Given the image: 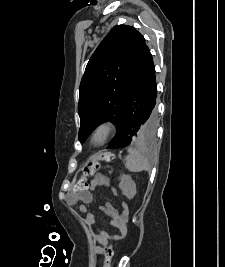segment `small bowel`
Returning a JSON list of instances; mask_svg holds the SVG:
<instances>
[{"label": "small bowel", "mask_w": 225, "mask_h": 267, "mask_svg": "<svg viewBox=\"0 0 225 267\" xmlns=\"http://www.w3.org/2000/svg\"><path fill=\"white\" fill-rule=\"evenodd\" d=\"M98 187H106L110 188L114 193H116V189L114 188L109 177L103 174H98L91 182L89 190L75 194L71 193L67 196V202L75 206L76 209L86 215V219L90 224H95L94 215L88 212V207L86 204H79V201H83L84 203L92 202V192L95 191ZM111 217V224L119 229L120 234L111 236L108 232L101 230L98 226H96L97 231L93 232L94 240L99 244L95 247V252L99 255H102L111 240H119L123 238L128 231L127 227V219H128V206L126 203H122L121 210H117L111 204L107 203L102 207Z\"/></svg>", "instance_id": "1"}]
</instances>
